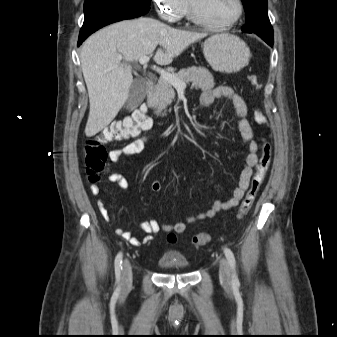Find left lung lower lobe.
Instances as JSON below:
<instances>
[{
  "label": "left lung lower lobe",
  "instance_id": "1",
  "mask_svg": "<svg viewBox=\"0 0 337 337\" xmlns=\"http://www.w3.org/2000/svg\"><path fill=\"white\" fill-rule=\"evenodd\" d=\"M261 39H263L268 45H270L271 47L273 46L274 40L272 37H265L262 35H258Z\"/></svg>",
  "mask_w": 337,
  "mask_h": 337
}]
</instances>
